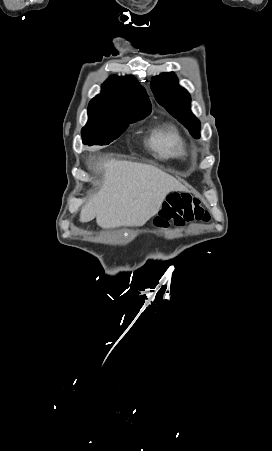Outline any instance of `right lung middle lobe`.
<instances>
[{
	"mask_svg": "<svg viewBox=\"0 0 272 451\" xmlns=\"http://www.w3.org/2000/svg\"><path fill=\"white\" fill-rule=\"evenodd\" d=\"M151 108L125 111L88 110V122L82 128L83 143L86 145H106L117 139L130 123L148 116Z\"/></svg>",
	"mask_w": 272,
	"mask_h": 451,
	"instance_id": "right-lung-middle-lobe-1",
	"label": "right lung middle lobe"
}]
</instances>
